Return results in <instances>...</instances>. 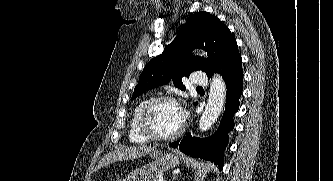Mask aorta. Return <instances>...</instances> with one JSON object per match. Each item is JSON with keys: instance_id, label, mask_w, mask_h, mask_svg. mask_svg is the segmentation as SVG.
<instances>
[{"instance_id": "obj_1", "label": "aorta", "mask_w": 333, "mask_h": 181, "mask_svg": "<svg viewBox=\"0 0 333 181\" xmlns=\"http://www.w3.org/2000/svg\"><path fill=\"white\" fill-rule=\"evenodd\" d=\"M226 86L220 75H214L211 81L207 105L199 121V130H208L218 119L224 106Z\"/></svg>"}]
</instances>
